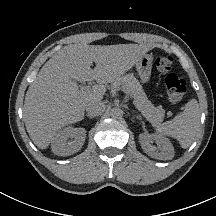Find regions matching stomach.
I'll list each match as a JSON object with an SVG mask.
<instances>
[{"label": "stomach", "mask_w": 216, "mask_h": 216, "mask_svg": "<svg viewBox=\"0 0 216 216\" xmlns=\"http://www.w3.org/2000/svg\"><path fill=\"white\" fill-rule=\"evenodd\" d=\"M153 57L149 54H144L135 64L142 83H148L151 77Z\"/></svg>", "instance_id": "1"}]
</instances>
